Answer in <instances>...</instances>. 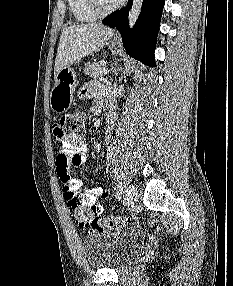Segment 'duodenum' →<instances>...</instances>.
<instances>
[{
  "instance_id": "duodenum-1",
  "label": "duodenum",
  "mask_w": 233,
  "mask_h": 286,
  "mask_svg": "<svg viewBox=\"0 0 233 286\" xmlns=\"http://www.w3.org/2000/svg\"><path fill=\"white\" fill-rule=\"evenodd\" d=\"M114 118V112L112 109V106L109 104L106 108V113H105V122L107 126H110Z\"/></svg>"
}]
</instances>
